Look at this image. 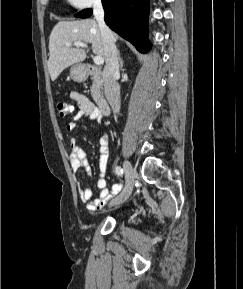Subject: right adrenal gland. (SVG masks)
<instances>
[{
	"label": "right adrenal gland",
	"instance_id": "2a0ac1e0",
	"mask_svg": "<svg viewBox=\"0 0 243 289\" xmlns=\"http://www.w3.org/2000/svg\"><path fill=\"white\" fill-rule=\"evenodd\" d=\"M117 52H118V59H119V62H120V68L122 69V67H123V60H122V58L120 57V51L118 50Z\"/></svg>",
	"mask_w": 243,
	"mask_h": 289
}]
</instances>
